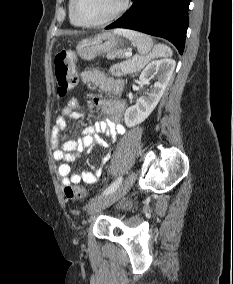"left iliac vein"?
Instances as JSON below:
<instances>
[{
    "instance_id": "obj_1",
    "label": "left iliac vein",
    "mask_w": 233,
    "mask_h": 284,
    "mask_svg": "<svg viewBox=\"0 0 233 284\" xmlns=\"http://www.w3.org/2000/svg\"><path fill=\"white\" fill-rule=\"evenodd\" d=\"M135 177V173L131 172L115 191L93 199L88 205V213L94 215L120 200L132 187Z\"/></svg>"
}]
</instances>
